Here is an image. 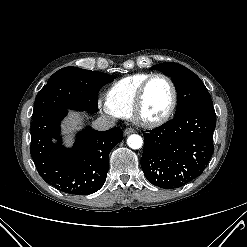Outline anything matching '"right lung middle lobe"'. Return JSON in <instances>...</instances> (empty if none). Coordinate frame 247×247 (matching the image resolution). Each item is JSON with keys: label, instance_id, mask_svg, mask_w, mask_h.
<instances>
[{"label": "right lung middle lobe", "instance_id": "right-lung-middle-lobe-1", "mask_svg": "<svg viewBox=\"0 0 247 247\" xmlns=\"http://www.w3.org/2000/svg\"><path fill=\"white\" fill-rule=\"evenodd\" d=\"M113 76L77 67H65L54 73L37 94L33 115L53 108L97 112L98 92L113 81Z\"/></svg>", "mask_w": 247, "mask_h": 247}]
</instances>
